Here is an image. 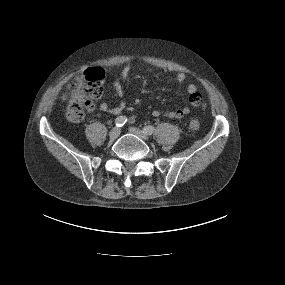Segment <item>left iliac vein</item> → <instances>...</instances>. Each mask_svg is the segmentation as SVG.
I'll list each match as a JSON object with an SVG mask.
<instances>
[{"label": "left iliac vein", "instance_id": "obj_1", "mask_svg": "<svg viewBox=\"0 0 285 285\" xmlns=\"http://www.w3.org/2000/svg\"><path fill=\"white\" fill-rule=\"evenodd\" d=\"M130 132L136 136H138L139 138L143 139V140H147L148 139V135L145 134L142 130L136 128V127H131Z\"/></svg>", "mask_w": 285, "mask_h": 285}]
</instances>
